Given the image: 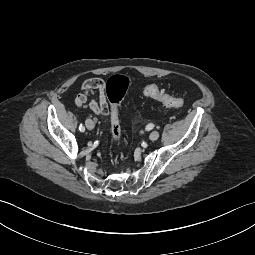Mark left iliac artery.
<instances>
[{"label":"left iliac artery","instance_id":"left-iliac-artery-1","mask_svg":"<svg viewBox=\"0 0 255 255\" xmlns=\"http://www.w3.org/2000/svg\"><path fill=\"white\" fill-rule=\"evenodd\" d=\"M155 128V125L154 124H149L146 128H145V131H148V130H151V129H154Z\"/></svg>","mask_w":255,"mask_h":255}]
</instances>
